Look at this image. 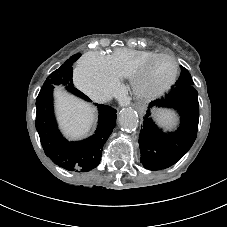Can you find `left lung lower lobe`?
<instances>
[{
    "mask_svg": "<svg viewBox=\"0 0 227 227\" xmlns=\"http://www.w3.org/2000/svg\"><path fill=\"white\" fill-rule=\"evenodd\" d=\"M198 92L194 85L173 86L162 98L152 101L141 126L140 161L146 169L161 170L178 162L193 145L199 121ZM155 107L173 108L180 116L175 132H163L151 118Z\"/></svg>",
    "mask_w": 227,
    "mask_h": 227,
    "instance_id": "0a47b994",
    "label": "left lung lower lobe"
}]
</instances>
